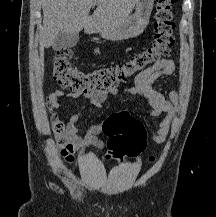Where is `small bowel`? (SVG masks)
Returning <instances> with one entry per match:
<instances>
[{"mask_svg":"<svg viewBox=\"0 0 216 217\" xmlns=\"http://www.w3.org/2000/svg\"><path fill=\"white\" fill-rule=\"evenodd\" d=\"M174 71V61L166 58L138 74L134 85L131 87L124 88L123 90L115 87L93 91L74 90L67 94L63 90L57 89L48 96V105L50 110H57L64 107L63 99L75 100L83 97L95 107L102 108L110 96L117 95L120 92L134 95L149 105L152 116L165 115L164 119L159 123L157 130L150 133V138L154 142L163 143L168 137L178 109L179 94L177 91L171 90L168 99H166L161 93L154 90L153 84L159 77L171 75ZM82 113L83 106H78L75 113L67 114L68 122L65 126L68 147L71 152L79 154L89 148L101 149L103 147V141L99 138V135L105 123V120H103L91 124L85 135L81 137L78 134V126L81 122ZM53 117L57 118L55 114H53Z\"/></svg>","mask_w":216,"mask_h":217,"instance_id":"c3829d8e","label":"small bowel"}]
</instances>
